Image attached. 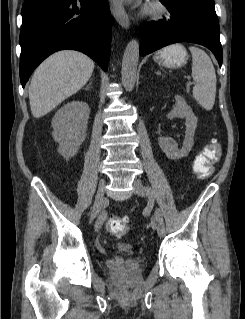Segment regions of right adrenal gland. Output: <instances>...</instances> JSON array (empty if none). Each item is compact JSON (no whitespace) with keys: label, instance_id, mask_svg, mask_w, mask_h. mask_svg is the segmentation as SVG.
Wrapping results in <instances>:
<instances>
[{"label":"right adrenal gland","instance_id":"2a0ac1e0","mask_svg":"<svg viewBox=\"0 0 245 319\" xmlns=\"http://www.w3.org/2000/svg\"><path fill=\"white\" fill-rule=\"evenodd\" d=\"M92 84V81L90 82V84L86 87V89L88 90L90 88V85Z\"/></svg>","mask_w":245,"mask_h":319}]
</instances>
